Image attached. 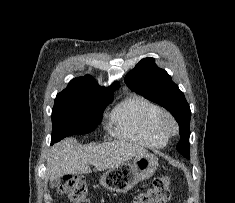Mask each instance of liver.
Segmentation results:
<instances>
[{
    "instance_id": "1",
    "label": "liver",
    "mask_w": 235,
    "mask_h": 203,
    "mask_svg": "<svg viewBox=\"0 0 235 203\" xmlns=\"http://www.w3.org/2000/svg\"><path fill=\"white\" fill-rule=\"evenodd\" d=\"M145 152L143 147L124 141L81 145L76 139L68 138L52 147L47 171L53 181L67 174L90 173L89 165L98 171L112 169Z\"/></svg>"
}]
</instances>
